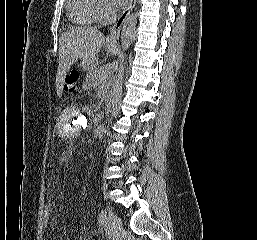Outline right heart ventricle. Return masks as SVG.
I'll use <instances>...</instances> for the list:
<instances>
[{
	"label": "right heart ventricle",
	"mask_w": 257,
	"mask_h": 240,
	"mask_svg": "<svg viewBox=\"0 0 257 240\" xmlns=\"http://www.w3.org/2000/svg\"><path fill=\"white\" fill-rule=\"evenodd\" d=\"M97 0H67L66 8L70 20L81 26H90L97 22Z\"/></svg>",
	"instance_id": "1"
}]
</instances>
